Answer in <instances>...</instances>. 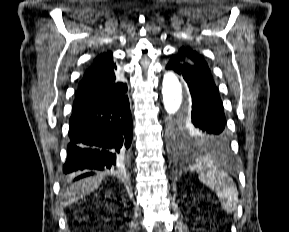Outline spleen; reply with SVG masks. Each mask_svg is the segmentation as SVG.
<instances>
[{
	"label": "spleen",
	"mask_w": 289,
	"mask_h": 232,
	"mask_svg": "<svg viewBox=\"0 0 289 232\" xmlns=\"http://www.w3.org/2000/svg\"><path fill=\"white\" fill-rule=\"evenodd\" d=\"M199 179L216 193L227 213H233L237 209L238 190L233 179L225 171L210 169L207 173H201Z\"/></svg>",
	"instance_id": "obj_1"
}]
</instances>
